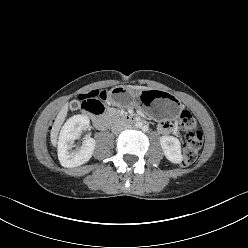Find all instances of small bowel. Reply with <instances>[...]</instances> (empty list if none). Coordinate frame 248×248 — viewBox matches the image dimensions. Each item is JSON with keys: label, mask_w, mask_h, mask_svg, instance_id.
Returning a JSON list of instances; mask_svg holds the SVG:
<instances>
[{"label": "small bowel", "mask_w": 248, "mask_h": 248, "mask_svg": "<svg viewBox=\"0 0 248 248\" xmlns=\"http://www.w3.org/2000/svg\"><path fill=\"white\" fill-rule=\"evenodd\" d=\"M158 130L161 133L168 134V133H171L173 131V126L171 125V123L164 121L158 125Z\"/></svg>", "instance_id": "1"}]
</instances>
